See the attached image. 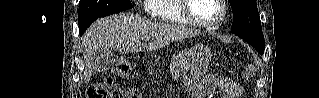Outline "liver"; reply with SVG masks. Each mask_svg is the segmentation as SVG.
<instances>
[{"label": "liver", "instance_id": "6515ba94", "mask_svg": "<svg viewBox=\"0 0 319 98\" xmlns=\"http://www.w3.org/2000/svg\"><path fill=\"white\" fill-rule=\"evenodd\" d=\"M199 34L184 26L150 22L128 13L101 18L89 27L81 39L85 62L84 81H90L93 68L91 59L98 50L114 49L122 54L150 51ZM146 37L152 40L149 44L141 42Z\"/></svg>", "mask_w": 319, "mask_h": 98}]
</instances>
